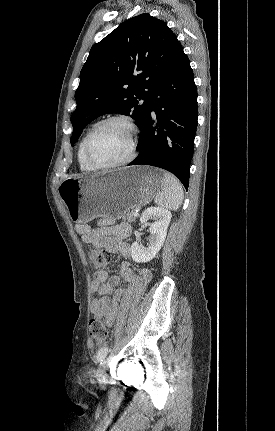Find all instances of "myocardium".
<instances>
[{
    "label": "myocardium",
    "mask_w": 275,
    "mask_h": 431,
    "mask_svg": "<svg viewBox=\"0 0 275 431\" xmlns=\"http://www.w3.org/2000/svg\"><path fill=\"white\" fill-rule=\"evenodd\" d=\"M111 122H120L128 128V130L130 132V140H131L130 151H129L127 157L124 158L123 160L119 161V162L112 163V164L95 163L89 155L90 142H91L93 136L98 132L99 129H101L104 125L111 123ZM137 144H138V131H137L135 124L128 117L123 116V115L110 116V117H107V118L97 122L90 129V131L88 132V134L84 140L83 155H84V159H85L86 163L91 168H93L94 170L116 169V168L123 167V166L131 163L134 160V158L136 156V151H137Z\"/></svg>",
    "instance_id": "obj_1"
}]
</instances>
